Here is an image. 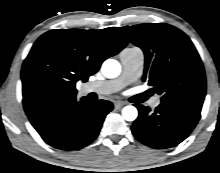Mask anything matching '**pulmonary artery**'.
I'll return each instance as SVG.
<instances>
[{
	"label": "pulmonary artery",
	"instance_id": "1",
	"mask_svg": "<svg viewBox=\"0 0 220 173\" xmlns=\"http://www.w3.org/2000/svg\"><path fill=\"white\" fill-rule=\"evenodd\" d=\"M120 60L122 63L121 75L114 80L90 83L89 90L91 92L103 95L112 94L140 76L144 66V54L141 50L137 48L124 50L121 53ZM158 103V98L151 102L153 106L158 105Z\"/></svg>",
	"mask_w": 220,
	"mask_h": 173
}]
</instances>
